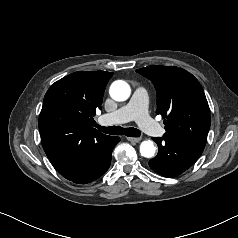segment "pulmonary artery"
<instances>
[{
  "label": "pulmonary artery",
  "mask_w": 238,
  "mask_h": 238,
  "mask_svg": "<svg viewBox=\"0 0 238 238\" xmlns=\"http://www.w3.org/2000/svg\"><path fill=\"white\" fill-rule=\"evenodd\" d=\"M148 92L144 87H137L124 106L116 111L104 114L99 118L102 125L124 123L135 120L143 131L151 136H160L163 133L162 127L153 121L147 109Z\"/></svg>",
  "instance_id": "pulmonary-artery-1"
}]
</instances>
